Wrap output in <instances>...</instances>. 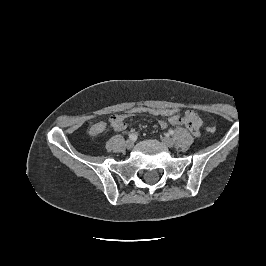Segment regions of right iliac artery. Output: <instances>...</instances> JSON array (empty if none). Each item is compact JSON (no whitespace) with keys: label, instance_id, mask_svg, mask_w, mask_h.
Segmentation results:
<instances>
[{"label":"right iliac artery","instance_id":"82829eb1","mask_svg":"<svg viewBox=\"0 0 266 266\" xmlns=\"http://www.w3.org/2000/svg\"><path fill=\"white\" fill-rule=\"evenodd\" d=\"M129 138L131 140H136L137 139V134L136 133H131V134H129Z\"/></svg>","mask_w":266,"mask_h":266}]
</instances>
